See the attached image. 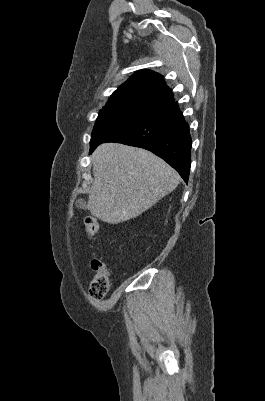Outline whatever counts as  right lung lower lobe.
Wrapping results in <instances>:
<instances>
[{"label":"right lung lower lobe","instance_id":"1","mask_svg":"<svg viewBox=\"0 0 265 401\" xmlns=\"http://www.w3.org/2000/svg\"><path fill=\"white\" fill-rule=\"evenodd\" d=\"M104 142H118L147 149L164 159L188 183L192 141L188 123L185 122L177 102L117 131ZM97 146L90 148V153Z\"/></svg>","mask_w":265,"mask_h":401}]
</instances>
